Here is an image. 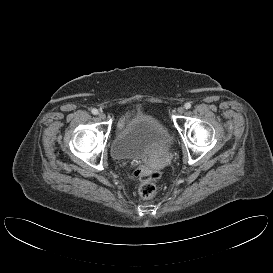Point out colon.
<instances>
[{"label":"colon","mask_w":273,"mask_h":273,"mask_svg":"<svg viewBox=\"0 0 273 273\" xmlns=\"http://www.w3.org/2000/svg\"><path fill=\"white\" fill-rule=\"evenodd\" d=\"M160 177L157 170L149 168H141L139 170L140 185L138 194L143 199L153 198L157 193L156 180Z\"/></svg>","instance_id":"1"}]
</instances>
